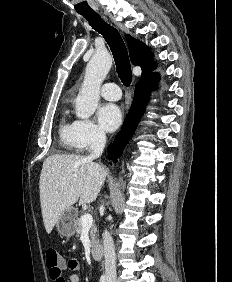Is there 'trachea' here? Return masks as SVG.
I'll list each match as a JSON object with an SVG mask.
<instances>
[{"instance_id":"1","label":"trachea","mask_w":232,"mask_h":282,"mask_svg":"<svg viewBox=\"0 0 232 282\" xmlns=\"http://www.w3.org/2000/svg\"><path fill=\"white\" fill-rule=\"evenodd\" d=\"M81 15L89 22L93 29L103 35L113 54L118 77L126 87H129L132 81V71L128 51L120 33L104 22L95 12L81 13Z\"/></svg>"}]
</instances>
